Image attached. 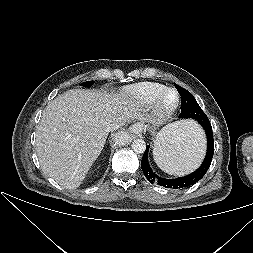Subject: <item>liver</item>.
I'll return each instance as SVG.
<instances>
[{
	"mask_svg": "<svg viewBox=\"0 0 253 253\" xmlns=\"http://www.w3.org/2000/svg\"><path fill=\"white\" fill-rule=\"evenodd\" d=\"M125 93L71 89L43 111L36 132V152L44 173L66 189H76L100 155L113 125L140 117Z\"/></svg>",
	"mask_w": 253,
	"mask_h": 253,
	"instance_id": "liver-1",
	"label": "liver"
}]
</instances>
